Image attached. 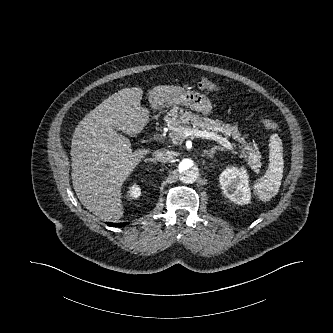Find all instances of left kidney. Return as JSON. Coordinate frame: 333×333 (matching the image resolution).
Returning a JSON list of instances; mask_svg holds the SVG:
<instances>
[{
  "label": "left kidney",
  "instance_id": "obj_1",
  "mask_svg": "<svg viewBox=\"0 0 333 333\" xmlns=\"http://www.w3.org/2000/svg\"><path fill=\"white\" fill-rule=\"evenodd\" d=\"M220 185L223 194L232 202L239 205L250 203L249 178L244 168H227L220 175Z\"/></svg>",
  "mask_w": 333,
  "mask_h": 333
}]
</instances>
